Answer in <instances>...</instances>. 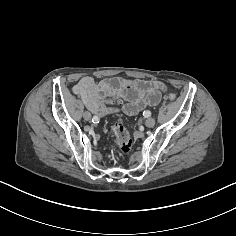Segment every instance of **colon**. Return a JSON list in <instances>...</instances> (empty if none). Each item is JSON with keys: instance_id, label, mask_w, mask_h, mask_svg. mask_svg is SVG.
<instances>
[{"instance_id": "5ec220e1", "label": "colon", "mask_w": 236, "mask_h": 236, "mask_svg": "<svg viewBox=\"0 0 236 236\" xmlns=\"http://www.w3.org/2000/svg\"><path fill=\"white\" fill-rule=\"evenodd\" d=\"M177 98V95L173 92L166 95V99L169 102H175ZM112 133L115 138L117 150L124 155L130 154L133 147V140L122 121L117 120L113 123Z\"/></svg>"}]
</instances>
